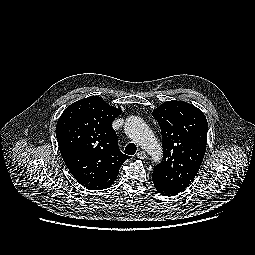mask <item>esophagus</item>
I'll return each mask as SVG.
<instances>
[{
    "mask_svg": "<svg viewBox=\"0 0 255 255\" xmlns=\"http://www.w3.org/2000/svg\"><path fill=\"white\" fill-rule=\"evenodd\" d=\"M136 157L139 159H145L146 158V152L141 150L136 154Z\"/></svg>",
    "mask_w": 255,
    "mask_h": 255,
    "instance_id": "obj_1",
    "label": "esophagus"
}]
</instances>
